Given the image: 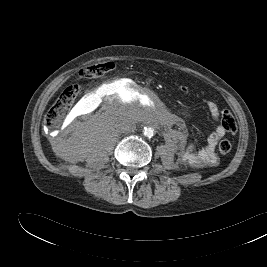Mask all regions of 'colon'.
Returning <instances> with one entry per match:
<instances>
[{
    "label": "colon",
    "instance_id": "1",
    "mask_svg": "<svg viewBox=\"0 0 267 267\" xmlns=\"http://www.w3.org/2000/svg\"><path fill=\"white\" fill-rule=\"evenodd\" d=\"M111 68L110 63L96 64L80 70V75L83 78H93L102 75ZM183 92H186L185 87H181ZM79 93V85L72 84L67 86L55 102L50 106L45 114V124L49 128L57 127L67 115L69 109L74 103ZM221 120L227 131L233 133L237 129V124L233 114L228 110L221 111ZM231 142L227 139L220 141L218 149L223 155L228 154L231 150Z\"/></svg>",
    "mask_w": 267,
    "mask_h": 267
}]
</instances>
